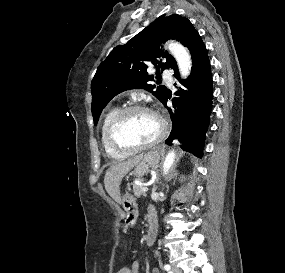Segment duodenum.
<instances>
[{"label":"duodenum","mask_w":285,"mask_h":273,"mask_svg":"<svg viewBox=\"0 0 285 273\" xmlns=\"http://www.w3.org/2000/svg\"><path fill=\"white\" fill-rule=\"evenodd\" d=\"M148 221H149V228L147 230L145 240L147 245H151L156 238L157 228H158L157 218L154 211H150L148 216Z\"/></svg>","instance_id":"obj_1"}]
</instances>
